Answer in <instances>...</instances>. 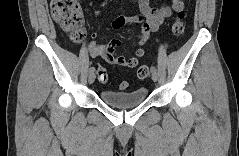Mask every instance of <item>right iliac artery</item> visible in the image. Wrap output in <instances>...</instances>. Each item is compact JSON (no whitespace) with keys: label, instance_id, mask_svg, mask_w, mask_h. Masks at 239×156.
Masks as SVG:
<instances>
[{"label":"right iliac artery","instance_id":"obj_1","mask_svg":"<svg viewBox=\"0 0 239 156\" xmlns=\"http://www.w3.org/2000/svg\"><path fill=\"white\" fill-rule=\"evenodd\" d=\"M90 72H94L95 71V68L92 66V67H90Z\"/></svg>","mask_w":239,"mask_h":156}]
</instances>
